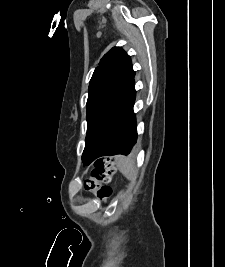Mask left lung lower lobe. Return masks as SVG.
I'll use <instances>...</instances> for the list:
<instances>
[{
	"label": "left lung lower lobe",
	"instance_id": "1",
	"mask_svg": "<svg viewBox=\"0 0 225 267\" xmlns=\"http://www.w3.org/2000/svg\"><path fill=\"white\" fill-rule=\"evenodd\" d=\"M134 78L127 88L119 106L111 131L97 154V158L116 154L128 155L137 142Z\"/></svg>",
	"mask_w": 225,
	"mask_h": 267
}]
</instances>
